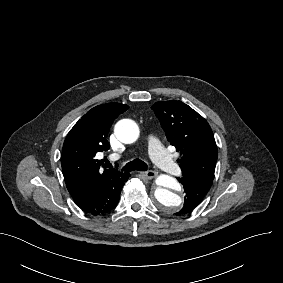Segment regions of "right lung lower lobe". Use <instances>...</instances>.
<instances>
[{
	"label": "right lung lower lobe",
	"mask_w": 283,
	"mask_h": 283,
	"mask_svg": "<svg viewBox=\"0 0 283 283\" xmlns=\"http://www.w3.org/2000/svg\"><path fill=\"white\" fill-rule=\"evenodd\" d=\"M129 177V173H122L98 184H81L69 193L77 206L86 214L105 215L118 204L122 187Z\"/></svg>",
	"instance_id": "right-lung-lower-lobe-1"
}]
</instances>
